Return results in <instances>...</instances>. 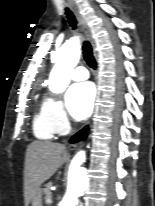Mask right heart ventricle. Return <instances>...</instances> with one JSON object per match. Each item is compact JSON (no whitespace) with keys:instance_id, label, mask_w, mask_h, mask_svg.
I'll list each match as a JSON object with an SVG mask.
<instances>
[{"instance_id":"obj_1","label":"right heart ventricle","mask_w":155,"mask_h":206,"mask_svg":"<svg viewBox=\"0 0 155 206\" xmlns=\"http://www.w3.org/2000/svg\"><path fill=\"white\" fill-rule=\"evenodd\" d=\"M33 130L35 136L42 140L52 139L55 135V132L45 117L42 108L34 117Z\"/></svg>"}]
</instances>
